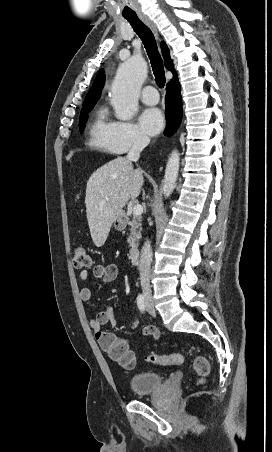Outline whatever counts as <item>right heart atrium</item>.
Instances as JSON below:
<instances>
[{
	"mask_svg": "<svg viewBox=\"0 0 272 452\" xmlns=\"http://www.w3.org/2000/svg\"><path fill=\"white\" fill-rule=\"evenodd\" d=\"M110 142L117 153H123L144 146L148 138L135 123L117 121L114 122Z\"/></svg>",
	"mask_w": 272,
	"mask_h": 452,
	"instance_id": "right-heart-atrium-1",
	"label": "right heart atrium"
}]
</instances>
